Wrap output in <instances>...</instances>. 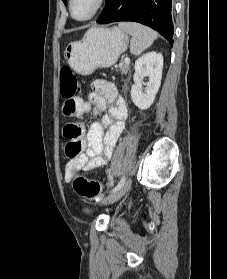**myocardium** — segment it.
<instances>
[{
    "label": "myocardium",
    "instance_id": "f54148a6",
    "mask_svg": "<svg viewBox=\"0 0 227 279\" xmlns=\"http://www.w3.org/2000/svg\"><path fill=\"white\" fill-rule=\"evenodd\" d=\"M73 1L74 0H69V6H68L69 14L73 20L78 21V22H84V21H88V20H91L92 18H94L103 9L105 2H106V0H95L94 8L90 12L89 15H87L84 18H76L72 11Z\"/></svg>",
    "mask_w": 227,
    "mask_h": 279
}]
</instances>
